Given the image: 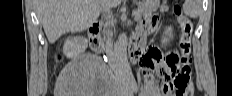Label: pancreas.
I'll use <instances>...</instances> for the list:
<instances>
[{"label": "pancreas", "instance_id": "1", "mask_svg": "<svg viewBox=\"0 0 232 96\" xmlns=\"http://www.w3.org/2000/svg\"><path fill=\"white\" fill-rule=\"evenodd\" d=\"M158 8H160V11H167L168 7L165 5L160 6L159 3H145L142 5H139L137 10H134L133 13L135 16L139 17V19L142 16H148L153 11H156Z\"/></svg>", "mask_w": 232, "mask_h": 96}]
</instances>
